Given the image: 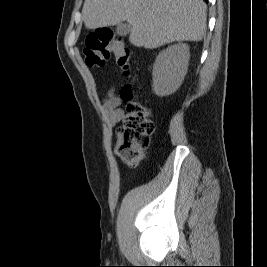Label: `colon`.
Segmentation results:
<instances>
[{"label":"colon","instance_id":"colon-1","mask_svg":"<svg viewBox=\"0 0 267 267\" xmlns=\"http://www.w3.org/2000/svg\"><path fill=\"white\" fill-rule=\"evenodd\" d=\"M85 62L90 67H103L111 56L125 77H130V50L107 28L89 34L84 47ZM121 97L127 103L126 114L117 131L116 154L129 167L137 166L144 158L154 132L151 110L135 99L132 87L123 86Z\"/></svg>","mask_w":267,"mask_h":267}]
</instances>
